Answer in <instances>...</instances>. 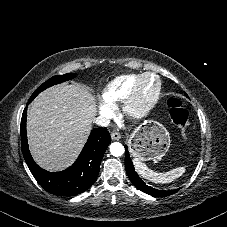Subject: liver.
<instances>
[{"instance_id":"liver-1","label":"liver","mask_w":227,"mask_h":227,"mask_svg":"<svg viewBox=\"0 0 227 227\" xmlns=\"http://www.w3.org/2000/svg\"><path fill=\"white\" fill-rule=\"evenodd\" d=\"M97 114L92 93L79 84H62L39 94L28 112L31 154L49 171L69 167L82 150Z\"/></svg>"}]
</instances>
